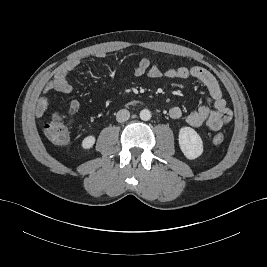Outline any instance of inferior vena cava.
<instances>
[{"mask_svg": "<svg viewBox=\"0 0 267 267\" xmlns=\"http://www.w3.org/2000/svg\"><path fill=\"white\" fill-rule=\"evenodd\" d=\"M130 118V112L126 109H121L116 114V120L118 122H125Z\"/></svg>", "mask_w": 267, "mask_h": 267, "instance_id": "1", "label": "inferior vena cava"}]
</instances>
